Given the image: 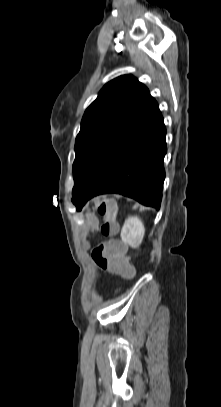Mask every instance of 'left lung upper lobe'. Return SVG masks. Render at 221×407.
<instances>
[{
	"label": "left lung upper lobe",
	"mask_w": 221,
	"mask_h": 407,
	"mask_svg": "<svg viewBox=\"0 0 221 407\" xmlns=\"http://www.w3.org/2000/svg\"><path fill=\"white\" fill-rule=\"evenodd\" d=\"M150 97L147 87L131 75L117 77L101 89L86 109L76 137L73 197Z\"/></svg>",
	"instance_id": "obj_1"
}]
</instances>
